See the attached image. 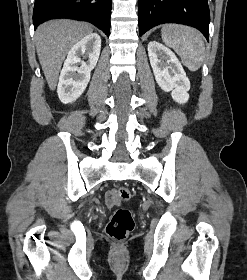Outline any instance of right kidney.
Segmentation results:
<instances>
[{
	"mask_svg": "<svg viewBox=\"0 0 247 280\" xmlns=\"http://www.w3.org/2000/svg\"><path fill=\"white\" fill-rule=\"evenodd\" d=\"M100 49L101 38L97 33L88 34L70 49L57 87L61 102L72 103L84 92L99 59Z\"/></svg>",
	"mask_w": 247,
	"mask_h": 280,
	"instance_id": "ca27d5eb",
	"label": "right kidney"
}]
</instances>
